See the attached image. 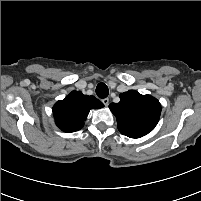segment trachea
<instances>
[{
	"label": "trachea",
	"instance_id": "trachea-1",
	"mask_svg": "<svg viewBox=\"0 0 201 201\" xmlns=\"http://www.w3.org/2000/svg\"><path fill=\"white\" fill-rule=\"evenodd\" d=\"M96 94L99 98H106L109 94L108 87L104 83H99L96 87Z\"/></svg>",
	"mask_w": 201,
	"mask_h": 201
}]
</instances>
